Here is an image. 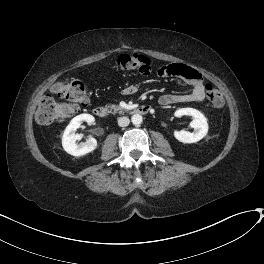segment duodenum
<instances>
[{"instance_id": "410a0bca", "label": "duodenum", "mask_w": 264, "mask_h": 264, "mask_svg": "<svg viewBox=\"0 0 264 264\" xmlns=\"http://www.w3.org/2000/svg\"><path fill=\"white\" fill-rule=\"evenodd\" d=\"M151 106L149 105H140L132 109L130 112L136 115H146L151 111ZM94 113L97 117L103 118L107 115L106 108L102 105H98L94 108Z\"/></svg>"}]
</instances>
